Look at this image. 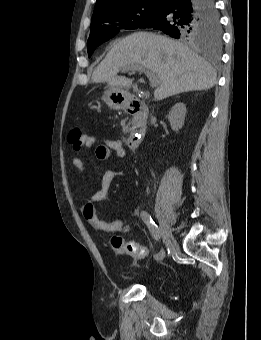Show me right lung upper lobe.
I'll return each instance as SVG.
<instances>
[{
  "mask_svg": "<svg viewBox=\"0 0 261 340\" xmlns=\"http://www.w3.org/2000/svg\"><path fill=\"white\" fill-rule=\"evenodd\" d=\"M146 0H97L93 12L92 21L101 18L104 14L117 9L119 7L127 6L135 2Z\"/></svg>",
  "mask_w": 261,
  "mask_h": 340,
  "instance_id": "cb5924a9",
  "label": "right lung upper lobe"
}]
</instances>
